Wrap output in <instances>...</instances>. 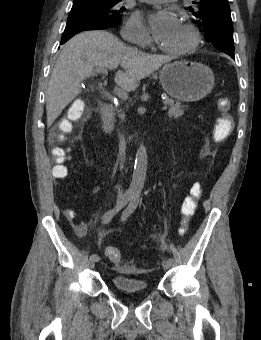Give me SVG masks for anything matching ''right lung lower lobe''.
Returning a JSON list of instances; mask_svg holds the SVG:
<instances>
[{"instance_id":"right-lung-lower-lobe-1","label":"right lung lower lobe","mask_w":261,"mask_h":340,"mask_svg":"<svg viewBox=\"0 0 261 340\" xmlns=\"http://www.w3.org/2000/svg\"><path fill=\"white\" fill-rule=\"evenodd\" d=\"M110 28L106 23L84 14H75L68 16L67 24L61 38V44H64L75 34L85 30H101Z\"/></svg>"}]
</instances>
